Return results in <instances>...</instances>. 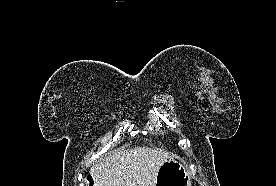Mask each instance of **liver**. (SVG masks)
Wrapping results in <instances>:
<instances>
[{
	"label": "liver",
	"instance_id": "liver-1",
	"mask_svg": "<svg viewBox=\"0 0 276 186\" xmlns=\"http://www.w3.org/2000/svg\"><path fill=\"white\" fill-rule=\"evenodd\" d=\"M173 156L149 147L122 149L90 169L95 186H155L160 166Z\"/></svg>",
	"mask_w": 276,
	"mask_h": 186
}]
</instances>
